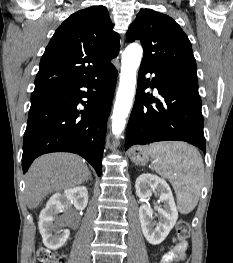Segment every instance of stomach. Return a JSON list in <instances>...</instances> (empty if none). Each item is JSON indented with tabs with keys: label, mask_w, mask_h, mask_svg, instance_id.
<instances>
[{
	"label": "stomach",
	"mask_w": 233,
	"mask_h": 263,
	"mask_svg": "<svg viewBox=\"0 0 233 263\" xmlns=\"http://www.w3.org/2000/svg\"><path fill=\"white\" fill-rule=\"evenodd\" d=\"M131 160L137 165H145L150 160V154L146 147H135L130 151Z\"/></svg>",
	"instance_id": "1"
}]
</instances>
